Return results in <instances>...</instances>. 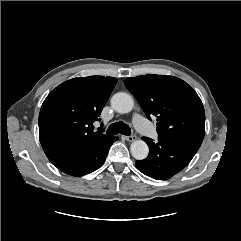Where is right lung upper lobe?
<instances>
[{
    "label": "right lung upper lobe",
    "mask_w": 241,
    "mask_h": 241,
    "mask_svg": "<svg viewBox=\"0 0 241 241\" xmlns=\"http://www.w3.org/2000/svg\"><path fill=\"white\" fill-rule=\"evenodd\" d=\"M117 79L77 77L52 90L39 114V138L49 160L84 149L110 136L93 131Z\"/></svg>",
    "instance_id": "right-lung-upper-lobe-1"
}]
</instances>
